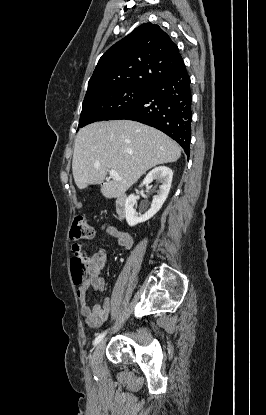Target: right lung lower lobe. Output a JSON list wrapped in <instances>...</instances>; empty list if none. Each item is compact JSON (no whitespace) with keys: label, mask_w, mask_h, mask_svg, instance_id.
<instances>
[{"label":"right lung lower lobe","mask_w":266,"mask_h":415,"mask_svg":"<svg viewBox=\"0 0 266 415\" xmlns=\"http://www.w3.org/2000/svg\"><path fill=\"white\" fill-rule=\"evenodd\" d=\"M191 106L190 77L184 68L178 74L154 83L142 100L110 120H134L155 127L177 141L189 157Z\"/></svg>","instance_id":"right-lung-lower-lobe-1"}]
</instances>
